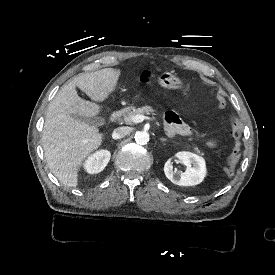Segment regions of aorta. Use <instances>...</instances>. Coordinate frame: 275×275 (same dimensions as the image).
Wrapping results in <instances>:
<instances>
[{
	"label": "aorta",
	"instance_id": "762f6f07",
	"mask_svg": "<svg viewBox=\"0 0 275 275\" xmlns=\"http://www.w3.org/2000/svg\"><path fill=\"white\" fill-rule=\"evenodd\" d=\"M135 141L137 144L144 145L149 142V134L146 131H140L135 134Z\"/></svg>",
	"mask_w": 275,
	"mask_h": 275
}]
</instances>
